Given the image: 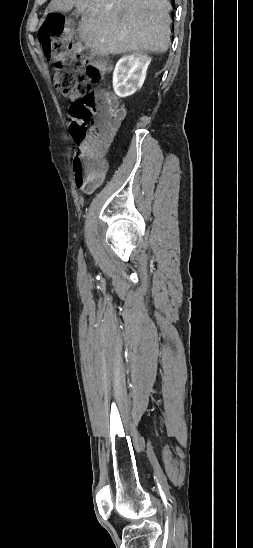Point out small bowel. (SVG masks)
<instances>
[{
    "label": "small bowel",
    "instance_id": "small-bowel-1",
    "mask_svg": "<svg viewBox=\"0 0 253 548\" xmlns=\"http://www.w3.org/2000/svg\"><path fill=\"white\" fill-rule=\"evenodd\" d=\"M103 177H104V174H102L98 179H96L95 181H93L91 183L83 184V185H77V186L80 187V188H84L88 192H92L96 188V186L101 182Z\"/></svg>",
    "mask_w": 253,
    "mask_h": 548
}]
</instances>
